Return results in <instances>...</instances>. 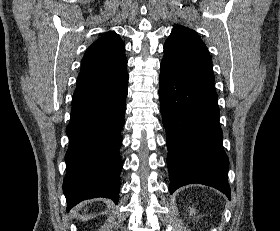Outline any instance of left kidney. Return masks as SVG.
Returning <instances> with one entry per match:
<instances>
[{
  "mask_svg": "<svg viewBox=\"0 0 280 231\" xmlns=\"http://www.w3.org/2000/svg\"><path fill=\"white\" fill-rule=\"evenodd\" d=\"M189 211H190V213H196L194 207H189Z\"/></svg>",
  "mask_w": 280,
  "mask_h": 231,
  "instance_id": "left-kidney-1",
  "label": "left kidney"
}]
</instances>
